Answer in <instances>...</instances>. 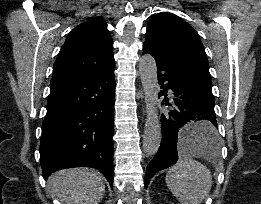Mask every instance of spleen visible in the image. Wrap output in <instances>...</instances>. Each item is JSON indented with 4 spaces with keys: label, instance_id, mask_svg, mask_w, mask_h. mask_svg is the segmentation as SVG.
I'll list each match as a JSON object with an SVG mask.
<instances>
[{
    "label": "spleen",
    "instance_id": "1",
    "mask_svg": "<svg viewBox=\"0 0 261 204\" xmlns=\"http://www.w3.org/2000/svg\"><path fill=\"white\" fill-rule=\"evenodd\" d=\"M196 124L190 123L182 128L189 132ZM196 151L216 154L219 150L218 138L210 144L201 141ZM166 184L181 204H201L212 187V176L207 167L193 159H180L166 174Z\"/></svg>",
    "mask_w": 261,
    "mask_h": 204
}]
</instances>
